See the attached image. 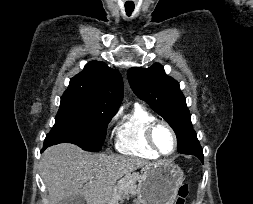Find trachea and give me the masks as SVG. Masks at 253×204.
<instances>
[{
    "instance_id": "1",
    "label": "trachea",
    "mask_w": 253,
    "mask_h": 204,
    "mask_svg": "<svg viewBox=\"0 0 253 204\" xmlns=\"http://www.w3.org/2000/svg\"><path fill=\"white\" fill-rule=\"evenodd\" d=\"M134 11V4H125V12L127 16H131Z\"/></svg>"
}]
</instances>
